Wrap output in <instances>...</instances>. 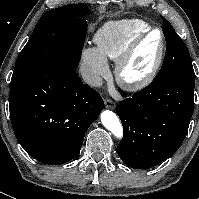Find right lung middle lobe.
Listing matches in <instances>:
<instances>
[{
	"mask_svg": "<svg viewBox=\"0 0 199 199\" xmlns=\"http://www.w3.org/2000/svg\"><path fill=\"white\" fill-rule=\"evenodd\" d=\"M88 13L85 4L45 12L17 59L10 86L48 64L60 63L76 69L87 31V22L82 17Z\"/></svg>",
	"mask_w": 199,
	"mask_h": 199,
	"instance_id": "right-lung-middle-lobe-1",
	"label": "right lung middle lobe"
}]
</instances>
